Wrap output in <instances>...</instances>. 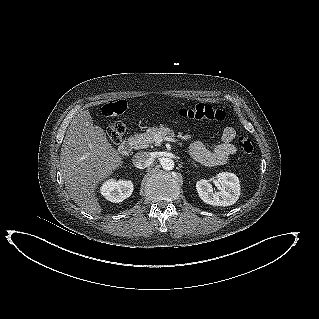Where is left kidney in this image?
<instances>
[{"label": "left kidney", "mask_w": 319, "mask_h": 319, "mask_svg": "<svg viewBox=\"0 0 319 319\" xmlns=\"http://www.w3.org/2000/svg\"><path fill=\"white\" fill-rule=\"evenodd\" d=\"M216 179L221 185L218 191H213L212 185L206 179L197 181L199 197L213 206H230L236 203L241 191L238 177L233 173L221 172L216 175Z\"/></svg>", "instance_id": "obj_1"}]
</instances>
